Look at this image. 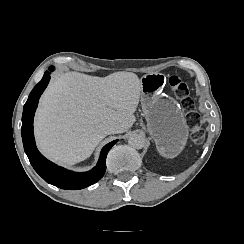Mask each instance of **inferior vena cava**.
<instances>
[{
	"label": "inferior vena cava",
	"mask_w": 244,
	"mask_h": 244,
	"mask_svg": "<svg viewBox=\"0 0 244 244\" xmlns=\"http://www.w3.org/2000/svg\"><path fill=\"white\" fill-rule=\"evenodd\" d=\"M104 131H105V134L108 135V134H114L117 132V128L115 125L113 124H110V123H107L105 125V128H104Z\"/></svg>",
	"instance_id": "602c4592"
}]
</instances>
